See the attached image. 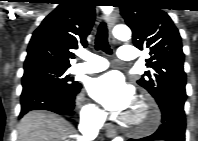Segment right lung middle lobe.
<instances>
[{"instance_id": "obj_1", "label": "right lung middle lobe", "mask_w": 198, "mask_h": 141, "mask_svg": "<svg viewBox=\"0 0 198 141\" xmlns=\"http://www.w3.org/2000/svg\"><path fill=\"white\" fill-rule=\"evenodd\" d=\"M68 68H40L24 73L22 77L23 87L30 85H50L64 91L74 89L78 82L73 81L65 74Z\"/></svg>"}]
</instances>
